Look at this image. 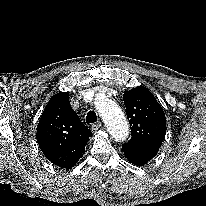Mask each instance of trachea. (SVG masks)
Listing matches in <instances>:
<instances>
[{
    "instance_id": "1",
    "label": "trachea",
    "mask_w": 206,
    "mask_h": 206,
    "mask_svg": "<svg viewBox=\"0 0 206 206\" xmlns=\"http://www.w3.org/2000/svg\"><path fill=\"white\" fill-rule=\"evenodd\" d=\"M86 122H87V124H91V123L97 122V115H96V113L94 111H89L87 113Z\"/></svg>"
}]
</instances>
